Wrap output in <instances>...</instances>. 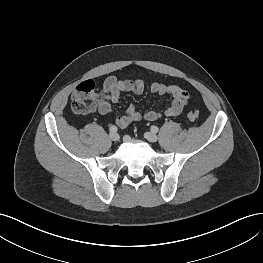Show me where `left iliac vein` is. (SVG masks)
Segmentation results:
<instances>
[{
    "label": "left iliac vein",
    "mask_w": 263,
    "mask_h": 263,
    "mask_svg": "<svg viewBox=\"0 0 263 263\" xmlns=\"http://www.w3.org/2000/svg\"><path fill=\"white\" fill-rule=\"evenodd\" d=\"M144 136L149 142H156L158 140V136L152 132H146Z\"/></svg>",
    "instance_id": "1"
}]
</instances>
